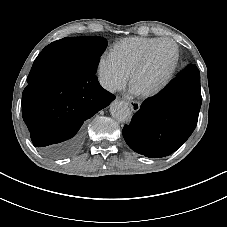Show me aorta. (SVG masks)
<instances>
[{
    "instance_id": "762f6f07",
    "label": "aorta",
    "mask_w": 227,
    "mask_h": 227,
    "mask_svg": "<svg viewBox=\"0 0 227 227\" xmlns=\"http://www.w3.org/2000/svg\"><path fill=\"white\" fill-rule=\"evenodd\" d=\"M110 114L118 122L129 121L132 113L129 105L124 101H114L110 105Z\"/></svg>"
}]
</instances>
